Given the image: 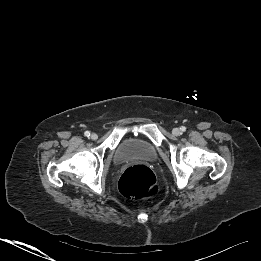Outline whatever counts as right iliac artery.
<instances>
[{
	"instance_id": "right-iliac-artery-1",
	"label": "right iliac artery",
	"mask_w": 261,
	"mask_h": 261,
	"mask_svg": "<svg viewBox=\"0 0 261 261\" xmlns=\"http://www.w3.org/2000/svg\"><path fill=\"white\" fill-rule=\"evenodd\" d=\"M84 135H85L86 137H89V136H90V132H89V131H86V132L84 133Z\"/></svg>"
}]
</instances>
